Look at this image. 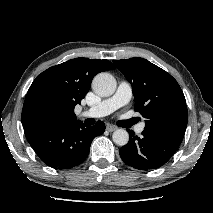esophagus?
<instances>
[{
  "mask_svg": "<svg viewBox=\"0 0 213 213\" xmlns=\"http://www.w3.org/2000/svg\"><path fill=\"white\" fill-rule=\"evenodd\" d=\"M106 129H107L109 132H113V131H115V130L117 129V127L114 126V125H111V124H107Z\"/></svg>",
  "mask_w": 213,
  "mask_h": 213,
  "instance_id": "obj_1",
  "label": "esophagus"
}]
</instances>
